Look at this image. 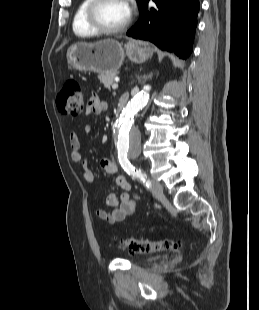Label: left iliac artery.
<instances>
[{
  "label": "left iliac artery",
  "instance_id": "44dca946",
  "mask_svg": "<svg viewBox=\"0 0 259 310\" xmlns=\"http://www.w3.org/2000/svg\"><path fill=\"white\" fill-rule=\"evenodd\" d=\"M122 168L129 174L134 177H137L143 183H146L147 186L151 185V182L147 179V176L144 171L141 169L135 168L128 160L125 162H120Z\"/></svg>",
  "mask_w": 259,
  "mask_h": 310
}]
</instances>
